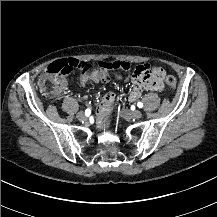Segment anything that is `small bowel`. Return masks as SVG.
<instances>
[{
  "label": "small bowel",
  "mask_w": 217,
  "mask_h": 217,
  "mask_svg": "<svg viewBox=\"0 0 217 217\" xmlns=\"http://www.w3.org/2000/svg\"><path fill=\"white\" fill-rule=\"evenodd\" d=\"M63 79L64 81V88L66 86V79L65 77H58ZM112 78L122 79L123 76L119 72H111L108 70H103L101 68H95L88 74H82L79 78V82L81 85H85L88 81L93 82H108ZM63 88V89H64ZM142 93V87L139 83L135 82V85L131 89L128 94V100L130 102L136 101ZM116 95L114 92H108L104 94L98 103V111H104L111 107L113 102L115 101Z\"/></svg>",
  "instance_id": "small-bowel-1"
}]
</instances>
